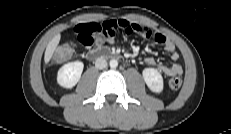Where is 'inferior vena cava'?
<instances>
[{
    "label": "inferior vena cava",
    "mask_w": 231,
    "mask_h": 134,
    "mask_svg": "<svg viewBox=\"0 0 231 134\" xmlns=\"http://www.w3.org/2000/svg\"><path fill=\"white\" fill-rule=\"evenodd\" d=\"M95 67L97 69H104L107 67V61L102 57L97 58L95 61Z\"/></svg>",
    "instance_id": "obj_1"
}]
</instances>
